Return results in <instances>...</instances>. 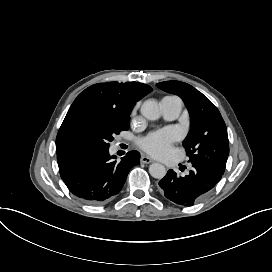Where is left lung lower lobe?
I'll return each instance as SVG.
<instances>
[{
	"mask_svg": "<svg viewBox=\"0 0 272 272\" xmlns=\"http://www.w3.org/2000/svg\"><path fill=\"white\" fill-rule=\"evenodd\" d=\"M192 166L194 170L185 177H177L173 170H169L159 182L165 197L177 205H194L218 183L223 175L200 163H192Z\"/></svg>",
	"mask_w": 272,
	"mask_h": 272,
	"instance_id": "0a47b994",
	"label": "left lung lower lobe"
}]
</instances>
